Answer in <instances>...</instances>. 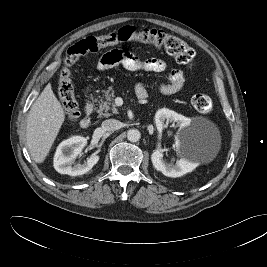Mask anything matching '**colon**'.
<instances>
[{
    "instance_id": "5ec220e1",
    "label": "colon",
    "mask_w": 267,
    "mask_h": 267,
    "mask_svg": "<svg viewBox=\"0 0 267 267\" xmlns=\"http://www.w3.org/2000/svg\"><path fill=\"white\" fill-rule=\"evenodd\" d=\"M124 42L149 44L166 51L183 65L192 66L194 64L195 53L193 48L182 39L169 35L162 30H136L133 27L125 26L106 35L86 37L67 49L63 67L59 73L58 93L68 121L74 122L79 117L78 102L71 79V66L79 57L87 53L97 52L104 47ZM192 105L198 112L208 113L211 111L213 103L208 95L196 94L192 98Z\"/></svg>"
}]
</instances>
